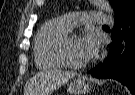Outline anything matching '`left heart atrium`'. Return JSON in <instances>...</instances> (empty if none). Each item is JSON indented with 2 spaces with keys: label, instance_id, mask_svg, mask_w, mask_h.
Here are the masks:
<instances>
[{
  "label": "left heart atrium",
  "instance_id": "39dd6f15",
  "mask_svg": "<svg viewBox=\"0 0 135 95\" xmlns=\"http://www.w3.org/2000/svg\"><path fill=\"white\" fill-rule=\"evenodd\" d=\"M79 52L84 61H89L96 56L98 40L93 33H86L79 39Z\"/></svg>",
  "mask_w": 135,
  "mask_h": 95
}]
</instances>
